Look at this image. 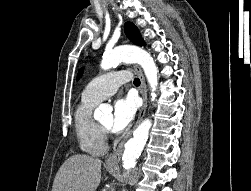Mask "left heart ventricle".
Returning <instances> with one entry per match:
<instances>
[{
  "label": "left heart ventricle",
  "instance_id": "obj_1",
  "mask_svg": "<svg viewBox=\"0 0 251 191\" xmlns=\"http://www.w3.org/2000/svg\"><path fill=\"white\" fill-rule=\"evenodd\" d=\"M110 122H111V120H110V116H109V115H108V116H105V117L102 119V121H101V123H102L104 126H106V127H109Z\"/></svg>",
  "mask_w": 251,
  "mask_h": 191
}]
</instances>
